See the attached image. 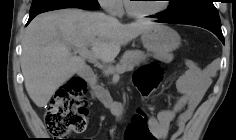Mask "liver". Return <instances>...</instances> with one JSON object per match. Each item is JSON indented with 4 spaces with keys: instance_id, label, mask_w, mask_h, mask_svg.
Segmentation results:
<instances>
[{
    "instance_id": "6515ba94",
    "label": "liver",
    "mask_w": 236,
    "mask_h": 140,
    "mask_svg": "<svg viewBox=\"0 0 236 140\" xmlns=\"http://www.w3.org/2000/svg\"><path fill=\"white\" fill-rule=\"evenodd\" d=\"M155 25L148 21L122 24L100 12L61 9L35 17L22 40L21 69L29 97L44 107L55 91L85 67L71 47H91L103 62H112L121 46Z\"/></svg>"
}]
</instances>
